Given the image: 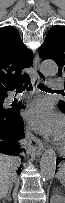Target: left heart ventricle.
I'll return each mask as SVG.
<instances>
[{"mask_svg":"<svg viewBox=\"0 0 65 203\" xmlns=\"http://www.w3.org/2000/svg\"><path fill=\"white\" fill-rule=\"evenodd\" d=\"M60 140H61L62 142H65V135H63V136L60 138Z\"/></svg>","mask_w":65,"mask_h":203,"instance_id":"1","label":"left heart ventricle"}]
</instances>
